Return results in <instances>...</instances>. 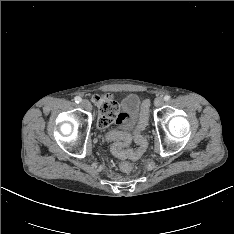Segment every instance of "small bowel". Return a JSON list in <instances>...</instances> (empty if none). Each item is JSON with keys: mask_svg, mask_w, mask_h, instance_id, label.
<instances>
[{"mask_svg": "<svg viewBox=\"0 0 234 234\" xmlns=\"http://www.w3.org/2000/svg\"><path fill=\"white\" fill-rule=\"evenodd\" d=\"M139 98L138 97H132L128 100L125 106V111L129 112L127 115L128 121H133L135 118V114L140 110V106H138Z\"/></svg>", "mask_w": 234, "mask_h": 234, "instance_id": "1", "label": "small bowel"}]
</instances>
